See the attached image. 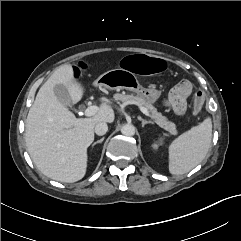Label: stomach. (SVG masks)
Returning <instances> with one entry per match:
<instances>
[{
	"label": "stomach",
	"mask_w": 241,
	"mask_h": 241,
	"mask_svg": "<svg viewBox=\"0 0 241 241\" xmlns=\"http://www.w3.org/2000/svg\"><path fill=\"white\" fill-rule=\"evenodd\" d=\"M94 85L101 90H130L147 101L154 103L161 96V90L155 87L144 88L140 85L135 73L123 68L113 69L100 75Z\"/></svg>",
	"instance_id": "obj_1"
}]
</instances>
